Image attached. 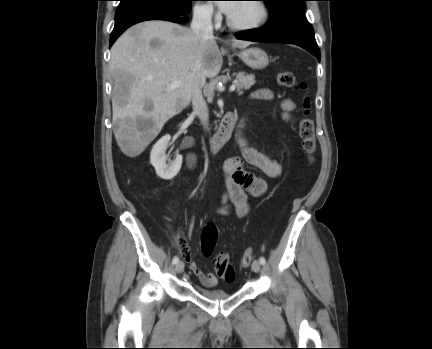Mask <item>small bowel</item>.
Returning a JSON list of instances; mask_svg holds the SVG:
<instances>
[{"label":"small bowel","instance_id":"1","mask_svg":"<svg viewBox=\"0 0 432 349\" xmlns=\"http://www.w3.org/2000/svg\"><path fill=\"white\" fill-rule=\"evenodd\" d=\"M252 96L255 99L266 101L272 100L274 97L269 89H259L255 91ZM280 105L283 111V118L288 120L290 118V113L295 108V104L291 100L285 99ZM237 142L241 148L242 156L232 157L224 162L223 171L226 189L222 197V206L219 211L222 214H228L231 208H233L238 217H244L249 211L247 202L248 195L261 197L268 189L267 182L263 178L247 171L245 169V164L259 169L272 178H277L282 174V166L276 160L251 146L242 133H239ZM187 162L189 167H193L195 164V157L190 155ZM181 244V255L189 262L190 269L198 277L201 284L204 287L215 286L218 283L217 277L213 273L203 272L198 264L191 260V251L185 247L183 243Z\"/></svg>","mask_w":432,"mask_h":349}]
</instances>
